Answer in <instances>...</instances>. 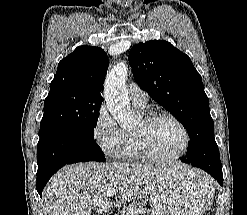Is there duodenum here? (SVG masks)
Instances as JSON below:
<instances>
[{"label":"duodenum","mask_w":247,"mask_h":215,"mask_svg":"<svg viewBox=\"0 0 247 215\" xmlns=\"http://www.w3.org/2000/svg\"><path fill=\"white\" fill-rule=\"evenodd\" d=\"M108 215H117V214H115V213H110V214H108Z\"/></svg>","instance_id":"1"}]
</instances>
